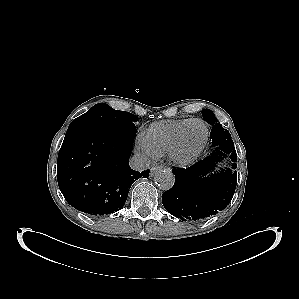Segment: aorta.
Returning <instances> with one entry per match:
<instances>
[{
	"mask_svg": "<svg viewBox=\"0 0 299 299\" xmlns=\"http://www.w3.org/2000/svg\"><path fill=\"white\" fill-rule=\"evenodd\" d=\"M155 182L162 190H169L174 185L175 176L170 170H160L155 175Z\"/></svg>",
	"mask_w": 299,
	"mask_h": 299,
	"instance_id": "762f6f07",
	"label": "aorta"
}]
</instances>
